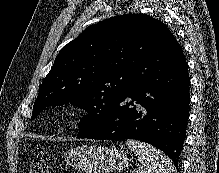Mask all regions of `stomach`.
I'll list each match as a JSON object with an SVG mask.
<instances>
[{
    "label": "stomach",
    "instance_id": "1",
    "mask_svg": "<svg viewBox=\"0 0 219 173\" xmlns=\"http://www.w3.org/2000/svg\"><path fill=\"white\" fill-rule=\"evenodd\" d=\"M63 157L68 166L80 173H112L125 169L129 164L124 151L94 145L71 148Z\"/></svg>",
    "mask_w": 219,
    "mask_h": 173
}]
</instances>
